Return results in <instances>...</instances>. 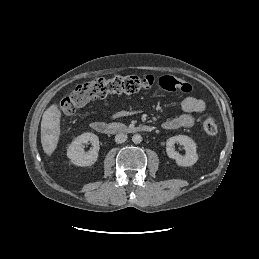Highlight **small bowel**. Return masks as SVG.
Wrapping results in <instances>:
<instances>
[{
  "label": "small bowel",
  "mask_w": 259,
  "mask_h": 259,
  "mask_svg": "<svg viewBox=\"0 0 259 259\" xmlns=\"http://www.w3.org/2000/svg\"><path fill=\"white\" fill-rule=\"evenodd\" d=\"M107 105L105 104V107ZM182 113L176 117L170 118L163 123L166 130H175L182 127L189 128L194 125L195 115L201 114L205 110V103L201 99L193 96H187L180 103ZM135 109H123L114 113L112 119H118L135 113ZM102 116H106V110H102Z\"/></svg>",
  "instance_id": "1"
}]
</instances>
